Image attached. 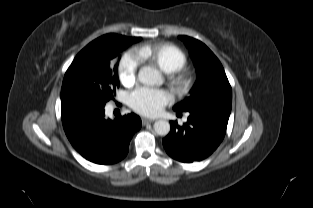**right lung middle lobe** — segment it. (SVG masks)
I'll return each mask as SVG.
<instances>
[{
    "label": "right lung middle lobe",
    "instance_id": "right-lung-middle-lobe-1",
    "mask_svg": "<svg viewBox=\"0 0 313 208\" xmlns=\"http://www.w3.org/2000/svg\"><path fill=\"white\" fill-rule=\"evenodd\" d=\"M139 40L140 37L129 41L114 35L98 39L75 57L65 73L61 92L69 88L102 102L113 99L119 79L118 62L114 67L112 63L116 58L120 59V51Z\"/></svg>",
    "mask_w": 313,
    "mask_h": 208
}]
</instances>
